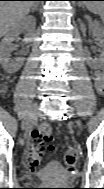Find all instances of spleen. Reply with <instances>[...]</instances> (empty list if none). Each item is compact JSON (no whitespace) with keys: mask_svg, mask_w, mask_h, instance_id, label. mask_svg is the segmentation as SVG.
<instances>
[{"mask_svg":"<svg viewBox=\"0 0 104 189\" xmlns=\"http://www.w3.org/2000/svg\"><path fill=\"white\" fill-rule=\"evenodd\" d=\"M84 4L93 13H101L103 11L102 1H85Z\"/></svg>","mask_w":104,"mask_h":189,"instance_id":"obj_1","label":"spleen"}]
</instances>
